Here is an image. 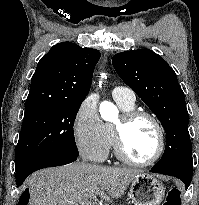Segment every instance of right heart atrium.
I'll use <instances>...</instances> for the list:
<instances>
[{"instance_id":"d8ad5b80","label":"right heart atrium","mask_w":199,"mask_h":205,"mask_svg":"<svg viewBox=\"0 0 199 205\" xmlns=\"http://www.w3.org/2000/svg\"><path fill=\"white\" fill-rule=\"evenodd\" d=\"M73 136L79 153L88 160L102 162L107 158L110 138L94 98L87 97L80 104L73 121Z\"/></svg>"}]
</instances>
